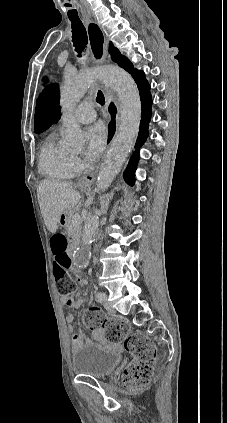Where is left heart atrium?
<instances>
[{
  "instance_id": "left-heart-atrium-1",
  "label": "left heart atrium",
  "mask_w": 227,
  "mask_h": 423,
  "mask_svg": "<svg viewBox=\"0 0 227 423\" xmlns=\"http://www.w3.org/2000/svg\"><path fill=\"white\" fill-rule=\"evenodd\" d=\"M87 137L88 148L86 157L89 161L94 162L99 159V157L106 149L108 131L104 125H95L89 129Z\"/></svg>"
}]
</instances>
